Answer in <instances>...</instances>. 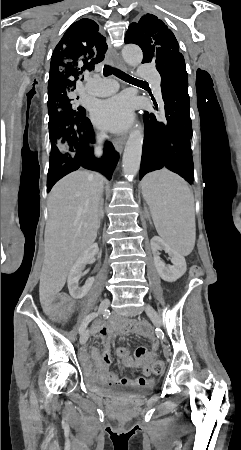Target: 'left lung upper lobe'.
<instances>
[{
  "mask_svg": "<svg viewBox=\"0 0 241 450\" xmlns=\"http://www.w3.org/2000/svg\"><path fill=\"white\" fill-rule=\"evenodd\" d=\"M125 43H134L143 51V63H156L160 75L173 71L180 73L185 66L178 42L170 29L155 15L145 14L137 23H131Z\"/></svg>",
  "mask_w": 241,
  "mask_h": 450,
  "instance_id": "obj_1",
  "label": "left lung upper lobe"
}]
</instances>
